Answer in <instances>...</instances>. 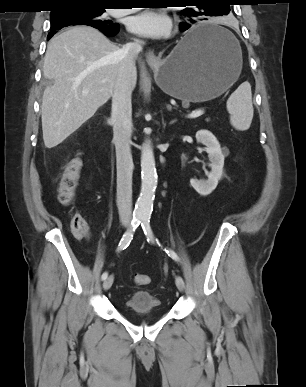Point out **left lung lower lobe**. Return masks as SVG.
<instances>
[{
  "label": "left lung lower lobe",
  "instance_id": "left-lung-lower-lobe-1",
  "mask_svg": "<svg viewBox=\"0 0 306 387\" xmlns=\"http://www.w3.org/2000/svg\"><path fill=\"white\" fill-rule=\"evenodd\" d=\"M191 27L190 24L188 23H181L180 29L181 31H186ZM189 30L186 33V44L188 46L194 45L203 41H208V40H214V39H223V34L224 32L218 31V30H208L204 32H191Z\"/></svg>",
  "mask_w": 306,
  "mask_h": 387
}]
</instances>
